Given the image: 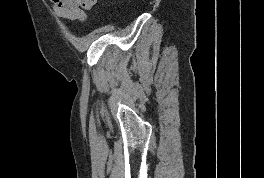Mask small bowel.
I'll return each instance as SVG.
<instances>
[{"label":"small bowel","mask_w":264,"mask_h":178,"mask_svg":"<svg viewBox=\"0 0 264 178\" xmlns=\"http://www.w3.org/2000/svg\"><path fill=\"white\" fill-rule=\"evenodd\" d=\"M55 13L64 19L85 21L86 11L90 10L96 0H50Z\"/></svg>","instance_id":"obj_1"}]
</instances>
